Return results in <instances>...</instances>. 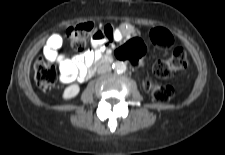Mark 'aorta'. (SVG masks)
Wrapping results in <instances>:
<instances>
[{
  "mask_svg": "<svg viewBox=\"0 0 225 155\" xmlns=\"http://www.w3.org/2000/svg\"><path fill=\"white\" fill-rule=\"evenodd\" d=\"M126 64L124 62L121 61H117L113 64V69L118 72V73H123L126 71Z\"/></svg>",
  "mask_w": 225,
  "mask_h": 155,
  "instance_id": "aorta-1",
  "label": "aorta"
}]
</instances>
